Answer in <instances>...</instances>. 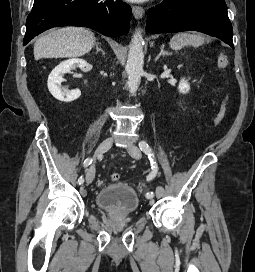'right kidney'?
Wrapping results in <instances>:
<instances>
[{"mask_svg": "<svg viewBox=\"0 0 255 272\" xmlns=\"http://www.w3.org/2000/svg\"><path fill=\"white\" fill-rule=\"evenodd\" d=\"M86 65L87 62L83 59H69L57 65L50 73L47 82L48 89L53 97L62 102H72L78 99L81 95V91L79 89L68 91L62 87L61 83L64 81L63 75L65 73L70 72L76 67L82 69Z\"/></svg>", "mask_w": 255, "mask_h": 272, "instance_id": "right-kidney-1", "label": "right kidney"}]
</instances>
